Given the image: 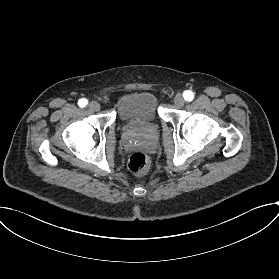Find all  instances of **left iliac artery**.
I'll return each mask as SVG.
<instances>
[{
	"label": "left iliac artery",
	"instance_id": "1",
	"mask_svg": "<svg viewBox=\"0 0 279 279\" xmlns=\"http://www.w3.org/2000/svg\"><path fill=\"white\" fill-rule=\"evenodd\" d=\"M183 97H184V99L186 100V101H192L193 100V98H194V93L192 92V91H190V90H186V91H184V93H183Z\"/></svg>",
	"mask_w": 279,
	"mask_h": 279
}]
</instances>
